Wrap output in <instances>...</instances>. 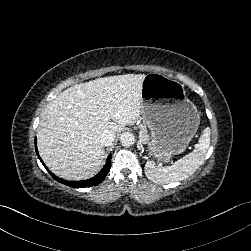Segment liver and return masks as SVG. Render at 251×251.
<instances>
[{
  "mask_svg": "<svg viewBox=\"0 0 251 251\" xmlns=\"http://www.w3.org/2000/svg\"><path fill=\"white\" fill-rule=\"evenodd\" d=\"M144 78L132 73L97 78L53 99L37 128L38 152L47 168L69 181L98 174L105 157L101 134H118L139 118Z\"/></svg>",
  "mask_w": 251,
  "mask_h": 251,
  "instance_id": "6515ba94",
  "label": "liver"
}]
</instances>
